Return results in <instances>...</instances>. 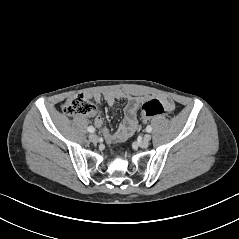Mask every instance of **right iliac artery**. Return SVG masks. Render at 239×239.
Here are the masks:
<instances>
[{
  "instance_id": "82829eb1",
  "label": "right iliac artery",
  "mask_w": 239,
  "mask_h": 239,
  "mask_svg": "<svg viewBox=\"0 0 239 239\" xmlns=\"http://www.w3.org/2000/svg\"><path fill=\"white\" fill-rule=\"evenodd\" d=\"M87 130H88L90 133L95 132V128L92 127V126H89V127L87 128Z\"/></svg>"
}]
</instances>
